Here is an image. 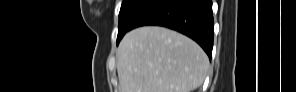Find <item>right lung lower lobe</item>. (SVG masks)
Listing matches in <instances>:
<instances>
[{"label": "right lung lower lobe", "instance_id": "obj_1", "mask_svg": "<svg viewBox=\"0 0 296 92\" xmlns=\"http://www.w3.org/2000/svg\"><path fill=\"white\" fill-rule=\"evenodd\" d=\"M213 15L211 0H154L136 18L132 28L164 26L195 40L212 56Z\"/></svg>", "mask_w": 296, "mask_h": 92}]
</instances>
